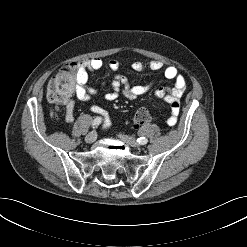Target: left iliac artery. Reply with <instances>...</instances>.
<instances>
[{"instance_id": "1", "label": "left iliac artery", "mask_w": 247, "mask_h": 247, "mask_svg": "<svg viewBox=\"0 0 247 247\" xmlns=\"http://www.w3.org/2000/svg\"><path fill=\"white\" fill-rule=\"evenodd\" d=\"M137 142H138L139 144H141V145H145V144H147L148 139L145 138V137H140V138L137 139Z\"/></svg>"}]
</instances>
